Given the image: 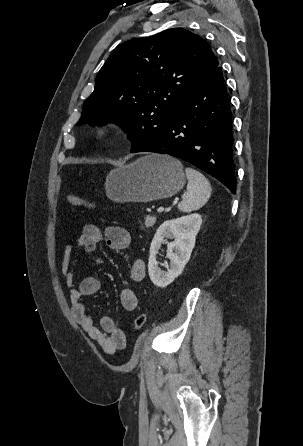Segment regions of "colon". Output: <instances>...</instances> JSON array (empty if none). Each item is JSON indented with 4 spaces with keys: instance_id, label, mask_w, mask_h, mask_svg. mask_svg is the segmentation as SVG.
Returning <instances> with one entry per match:
<instances>
[{
    "instance_id": "1",
    "label": "colon",
    "mask_w": 303,
    "mask_h": 446,
    "mask_svg": "<svg viewBox=\"0 0 303 446\" xmlns=\"http://www.w3.org/2000/svg\"><path fill=\"white\" fill-rule=\"evenodd\" d=\"M67 201L70 205L74 206V207H79V208H86L89 210L94 209V205L86 202L85 200H83L80 196H78L77 194H69L67 196ZM147 320V316L145 314H139L136 316V318L133 321V328L136 331L141 330Z\"/></svg>"
}]
</instances>
